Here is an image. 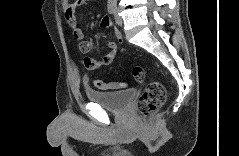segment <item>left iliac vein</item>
Listing matches in <instances>:
<instances>
[{
	"label": "left iliac vein",
	"instance_id": "obj_1",
	"mask_svg": "<svg viewBox=\"0 0 239 156\" xmlns=\"http://www.w3.org/2000/svg\"><path fill=\"white\" fill-rule=\"evenodd\" d=\"M114 17H115L116 24L117 25H122L123 21H122V18L118 15V10L117 9L115 10Z\"/></svg>",
	"mask_w": 239,
	"mask_h": 156
}]
</instances>
